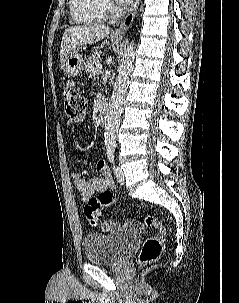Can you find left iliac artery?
Returning <instances> with one entry per match:
<instances>
[{
  "mask_svg": "<svg viewBox=\"0 0 239 303\" xmlns=\"http://www.w3.org/2000/svg\"><path fill=\"white\" fill-rule=\"evenodd\" d=\"M115 147H116V144L114 142H108L107 147H106L107 157H108L110 163L112 164L114 172L117 170V166L115 164V159H114V157H115Z\"/></svg>",
  "mask_w": 239,
  "mask_h": 303,
  "instance_id": "44dca946",
  "label": "left iliac artery"
}]
</instances>
